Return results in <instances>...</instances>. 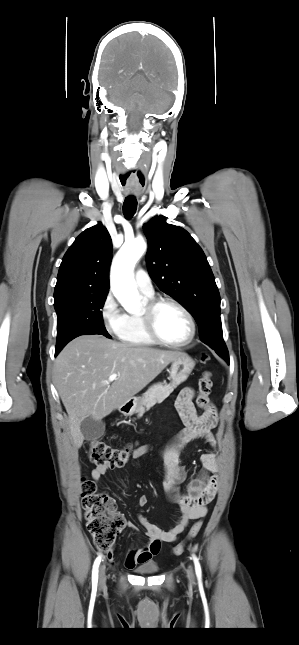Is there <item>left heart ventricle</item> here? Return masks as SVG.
<instances>
[{
    "label": "left heart ventricle",
    "instance_id": "obj_1",
    "mask_svg": "<svg viewBox=\"0 0 299 645\" xmlns=\"http://www.w3.org/2000/svg\"><path fill=\"white\" fill-rule=\"evenodd\" d=\"M156 328L160 336L168 341L179 342L190 333L188 319L173 305H163L156 315Z\"/></svg>",
    "mask_w": 299,
    "mask_h": 645
}]
</instances>
